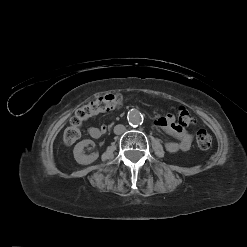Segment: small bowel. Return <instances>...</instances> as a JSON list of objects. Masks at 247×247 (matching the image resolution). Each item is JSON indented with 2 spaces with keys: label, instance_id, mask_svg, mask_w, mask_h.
<instances>
[{
  "label": "small bowel",
  "instance_id": "obj_1",
  "mask_svg": "<svg viewBox=\"0 0 247 247\" xmlns=\"http://www.w3.org/2000/svg\"><path fill=\"white\" fill-rule=\"evenodd\" d=\"M156 125L178 139V141H169L165 144V149L168 152L176 153L179 151H188L190 149L193 140L192 135L176 123V119L172 114H167L158 118L156 120ZM87 131L92 138H99L106 133L107 126H89Z\"/></svg>",
  "mask_w": 247,
  "mask_h": 247
}]
</instances>
